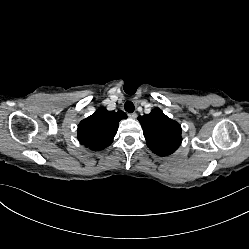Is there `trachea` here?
<instances>
[{
    "mask_svg": "<svg viewBox=\"0 0 249 249\" xmlns=\"http://www.w3.org/2000/svg\"><path fill=\"white\" fill-rule=\"evenodd\" d=\"M124 109H125L127 112L132 113V112L135 110V106H134L133 102L127 101V102L124 104Z\"/></svg>",
    "mask_w": 249,
    "mask_h": 249,
    "instance_id": "obj_1",
    "label": "trachea"
}]
</instances>
